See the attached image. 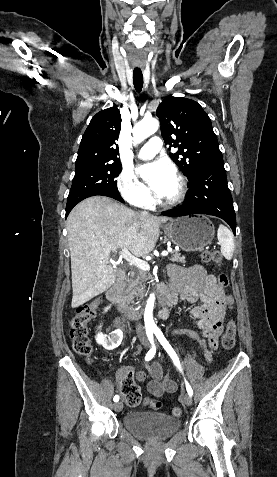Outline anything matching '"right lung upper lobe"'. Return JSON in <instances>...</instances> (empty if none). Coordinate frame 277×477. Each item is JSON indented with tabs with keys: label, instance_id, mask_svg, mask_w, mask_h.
I'll use <instances>...</instances> for the list:
<instances>
[{
	"label": "right lung upper lobe",
	"instance_id": "cb5924a9",
	"mask_svg": "<svg viewBox=\"0 0 277 477\" xmlns=\"http://www.w3.org/2000/svg\"><path fill=\"white\" fill-rule=\"evenodd\" d=\"M121 115L117 107L98 112L90 121L82 137L76 167L89 164L120 163L117 140Z\"/></svg>",
	"mask_w": 277,
	"mask_h": 477
}]
</instances>
